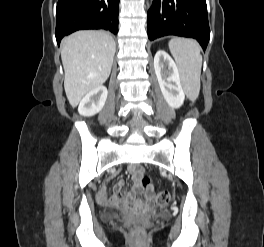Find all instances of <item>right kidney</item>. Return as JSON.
<instances>
[{
    "instance_id": "ca27d5eb",
    "label": "right kidney",
    "mask_w": 264,
    "mask_h": 247,
    "mask_svg": "<svg viewBox=\"0 0 264 247\" xmlns=\"http://www.w3.org/2000/svg\"><path fill=\"white\" fill-rule=\"evenodd\" d=\"M108 91L105 86H99L85 95L80 101L78 112L82 116L90 117L99 113L105 105Z\"/></svg>"
}]
</instances>
